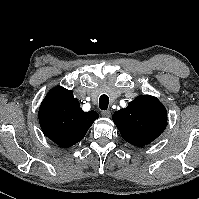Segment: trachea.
Listing matches in <instances>:
<instances>
[{"label": "trachea", "mask_w": 199, "mask_h": 199, "mask_svg": "<svg viewBox=\"0 0 199 199\" xmlns=\"http://www.w3.org/2000/svg\"><path fill=\"white\" fill-rule=\"evenodd\" d=\"M109 104V97L105 94L101 95L99 98V107L101 110H106Z\"/></svg>", "instance_id": "trachea-1"}]
</instances>
